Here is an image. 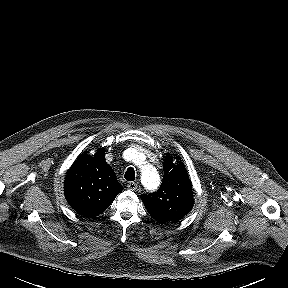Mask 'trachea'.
I'll use <instances>...</instances> for the list:
<instances>
[{
  "instance_id": "1",
  "label": "trachea",
  "mask_w": 288,
  "mask_h": 288,
  "mask_svg": "<svg viewBox=\"0 0 288 288\" xmlns=\"http://www.w3.org/2000/svg\"><path fill=\"white\" fill-rule=\"evenodd\" d=\"M124 178L127 181H134L135 180V171L132 167H129L125 172Z\"/></svg>"
}]
</instances>
